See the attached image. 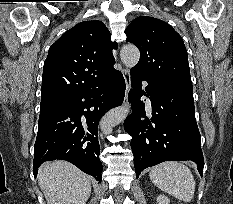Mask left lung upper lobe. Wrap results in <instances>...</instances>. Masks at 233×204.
Instances as JSON below:
<instances>
[{
	"instance_id": "1",
	"label": "left lung upper lobe",
	"mask_w": 233,
	"mask_h": 204,
	"mask_svg": "<svg viewBox=\"0 0 233 204\" xmlns=\"http://www.w3.org/2000/svg\"><path fill=\"white\" fill-rule=\"evenodd\" d=\"M127 42L140 50L130 72L163 86L192 91L187 51L181 36L166 22L147 16L134 19L125 30Z\"/></svg>"
}]
</instances>
